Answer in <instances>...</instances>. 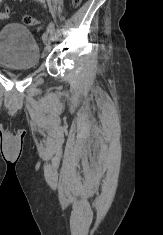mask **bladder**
<instances>
[{"instance_id": "bladder-1", "label": "bladder", "mask_w": 163, "mask_h": 235, "mask_svg": "<svg viewBox=\"0 0 163 235\" xmlns=\"http://www.w3.org/2000/svg\"><path fill=\"white\" fill-rule=\"evenodd\" d=\"M40 48L32 32L24 25L11 23L0 30V65L32 69L39 65Z\"/></svg>"}]
</instances>
